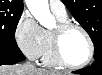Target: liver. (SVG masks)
Masks as SVG:
<instances>
[{"mask_svg":"<svg viewBox=\"0 0 102 75\" xmlns=\"http://www.w3.org/2000/svg\"><path fill=\"white\" fill-rule=\"evenodd\" d=\"M0 75H61L59 72L28 67L25 64L4 65L0 67Z\"/></svg>","mask_w":102,"mask_h":75,"instance_id":"6515ba94","label":"liver"}]
</instances>
